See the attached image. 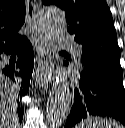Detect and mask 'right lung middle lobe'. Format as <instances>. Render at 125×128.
I'll use <instances>...</instances> for the list:
<instances>
[{
	"mask_svg": "<svg viewBox=\"0 0 125 128\" xmlns=\"http://www.w3.org/2000/svg\"><path fill=\"white\" fill-rule=\"evenodd\" d=\"M0 73H2L1 70H0ZM10 81L13 82V80H11V79H10ZM13 83H14V82H13Z\"/></svg>",
	"mask_w": 125,
	"mask_h": 128,
	"instance_id": "1",
	"label": "right lung middle lobe"
}]
</instances>
